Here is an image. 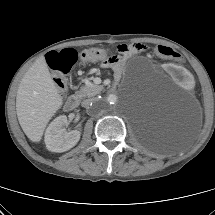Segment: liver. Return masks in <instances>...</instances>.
I'll use <instances>...</instances> for the list:
<instances>
[{
	"instance_id": "6515ba94",
	"label": "liver",
	"mask_w": 215,
	"mask_h": 215,
	"mask_svg": "<svg viewBox=\"0 0 215 215\" xmlns=\"http://www.w3.org/2000/svg\"><path fill=\"white\" fill-rule=\"evenodd\" d=\"M62 103L45 58L37 59L24 74L16 96L19 124L32 142L42 139L48 122Z\"/></svg>"
}]
</instances>
